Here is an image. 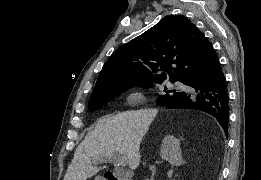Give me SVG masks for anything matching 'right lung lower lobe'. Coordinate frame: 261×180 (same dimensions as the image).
Segmentation results:
<instances>
[{"instance_id": "98d812e1", "label": "right lung lower lobe", "mask_w": 261, "mask_h": 180, "mask_svg": "<svg viewBox=\"0 0 261 180\" xmlns=\"http://www.w3.org/2000/svg\"><path fill=\"white\" fill-rule=\"evenodd\" d=\"M182 83L191 89L188 92H178L159 105L167 108L198 109L209 113L217 119L227 136L229 95L219 61L195 70Z\"/></svg>"}]
</instances>
